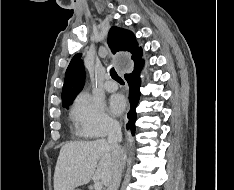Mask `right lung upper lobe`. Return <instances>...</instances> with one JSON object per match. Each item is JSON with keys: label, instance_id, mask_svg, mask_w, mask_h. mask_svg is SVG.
I'll return each instance as SVG.
<instances>
[{"label": "right lung upper lobe", "instance_id": "1", "mask_svg": "<svg viewBox=\"0 0 234 190\" xmlns=\"http://www.w3.org/2000/svg\"><path fill=\"white\" fill-rule=\"evenodd\" d=\"M108 44L115 54L116 52H128L132 56L134 61L137 56L142 52L141 47H138V43L132 32L118 28L111 27L108 33ZM85 78V69L81 59V54H76L65 74L64 86L62 89V104L71 102L75 99L76 95L83 88Z\"/></svg>", "mask_w": 234, "mask_h": 190}]
</instances>
